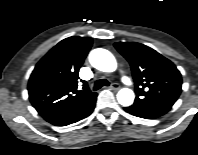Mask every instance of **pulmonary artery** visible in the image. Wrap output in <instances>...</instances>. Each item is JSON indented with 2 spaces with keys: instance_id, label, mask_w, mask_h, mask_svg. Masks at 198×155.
I'll use <instances>...</instances> for the list:
<instances>
[{
  "instance_id": "obj_1",
  "label": "pulmonary artery",
  "mask_w": 198,
  "mask_h": 155,
  "mask_svg": "<svg viewBox=\"0 0 198 155\" xmlns=\"http://www.w3.org/2000/svg\"><path fill=\"white\" fill-rule=\"evenodd\" d=\"M123 79H124L126 85H130V84H131V83L124 77V75H123Z\"/></svg>"
}]
</instances>
